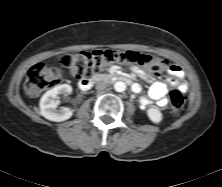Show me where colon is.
<instances>
[{"label": "colon", "instance_id": "colon-1", "mask_svg": "<svg viewBox=\"0 0 222 187\" xmlns=\"http://www.w3.org/2000/svg\"><path fill=\"white\" fill-rule=\"evenodd\" d=\"M115 63L139 66L151 75L161 74L168 69V62L164 58L137 51L94 50L65 54L61 58L62 66L67 68L71 76L77 80H88L93 74ZM61 80L59 69L36 64L27 74L24 90L27 96L36 97L46 89L60 84ZM185 102L186 98L181 90H172L169 97L170 113L179 115Z\"/></svg>", "mask_w": 222, "mask_h": 187}]
</instances>
